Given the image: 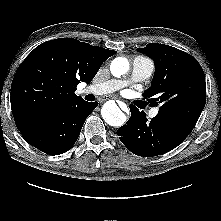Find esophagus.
Segmentation results:
<instances>
[{
	"instance_id": "obj_1",
	"label": "esophagus",
	"mask_w": 221,
	"mask_h": 221,
	"mask_svg": "<svg viewBox=\"0 0 221 221\" xmlns=\"http://www.w3.org/2000/svg\"><path fill=\"white\" fill-rule=\"evenodd\" d=\"M102 100H103V101H106V100H108V98H107V97H103ZM120 105H121L122 107H125V104H124L123 102H120Z\"/></svg>"
}]
</instances>
